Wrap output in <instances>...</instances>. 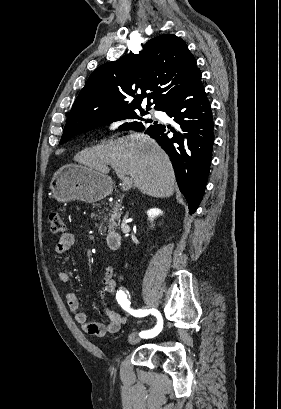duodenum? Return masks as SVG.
I'll use <instances>...</instances> for the list:
<instances>
[{
	"mask_svg": "<svg viewBox=\"0 0 281 409\" xmlns=\"http://www.w3.org/2000/svg\"><path fill=\"white\" fill-rule=\"evenodd\" d=\"M108 245L111 249H119L121 247L122 238L119 232H109L107 235Z\"/></svg>",
	"mask_w": 281,
	"mask_h": 409,
	"instance_id": "obj_1",
	"label": "duodenum"
}]
</instances>
